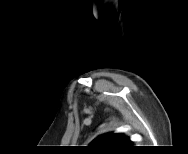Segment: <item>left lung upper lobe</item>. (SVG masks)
<instances>
[{"mask_svg": "<svg viewBox=\"0 0 188 154\" xmlns=\"http://www.w3.org/2000/svg\"><path fill=\"white\" fill-rule=\"evenodd\" d=\"M131 144V140L120 133H108L96 138L90 147L98 150H122L130 147Z\"/></svg>", "mask_w": 188, "mask_h": 154, "instance_id": "1", "label": "left lung upper lobe"}]
</instances>
